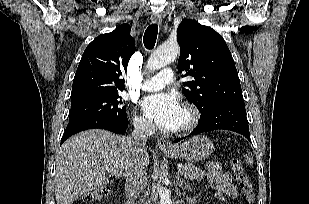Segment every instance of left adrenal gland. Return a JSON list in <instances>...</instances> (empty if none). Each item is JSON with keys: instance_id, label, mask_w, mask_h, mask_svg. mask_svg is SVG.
I'll list each match as a JSON object with an SVG mask.
<instances>
[{"instance_id": "1", "label": "left adrenal gland", "mask_w": 309, "mask_h": 204, "mask_svg": "<svg viewBox=\"0 0 309 204\" xmlns=\"http://www.w3.org/2000/svg\"><path fill=\"white\" fill-rule=\"evenodd\" d=\"M177 183L179 187H182L184 190L192 191V188L189 183H185L184 180L180 178V175L177 176ZM184 184V186H183Z\"/></svg>"}]
</instances>
